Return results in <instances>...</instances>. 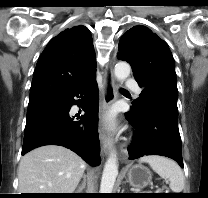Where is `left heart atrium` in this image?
Masks as SVG:
<instances>
[{
	"instance_id": "left-heart-atrium-1",
	"label": "left heart atrium",
	"mask_w": 208,
	"mask_h": 198,
	"mask_svg": "<svg viewBox=\"0 0 208 198\" xmlns=\"http://www.w3.org/2000/svg\"><path fill=\"white\" fill-rule=\"evenodd\" d=\"M108 122H109V123H112V117H111V116L108 117Z\"/></svg>"
}]
</instances>
